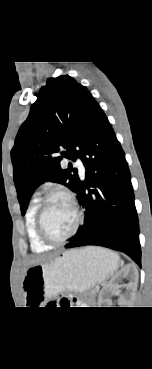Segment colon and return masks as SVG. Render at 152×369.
I'll use <instances>...</instances> for the list:
<instances>
[{
  "instance_id": "1",
  "label": "colon",
  "mask_w": 152,
  "mask_h": 369,
  "mask_svg": "<svg viewBox=\"0 0 152 369\" xmlns=\"http://www.w3.org/2000/svg\"><path fill=\"white\" fill-rule=\"evenodd\" d=\"M53 306L69 307L71 305V298L67 295H61L57 301L52 303Z\"/></svg>"
}]
</instances>
